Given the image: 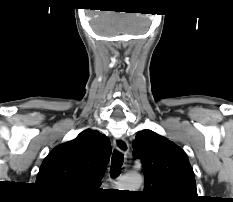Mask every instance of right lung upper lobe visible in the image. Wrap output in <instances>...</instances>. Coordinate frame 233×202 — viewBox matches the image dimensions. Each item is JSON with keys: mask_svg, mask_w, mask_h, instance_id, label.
<instances>
[{"mask_svg": "<svg viewBox=\"0 0 233 202\" xmlns=\"http://www.w3.org/2000/svg\"><path fill=\"white\" fill-rule=\"evenodd\" d=\"M111 154L109 139L91 129L55 147L44 159L36 183L59 196H81L98 188Z\"/></svg>", "mask_w": 233, "mask_h": 202, "instance_id": "obj_1", "label": "right lung upper lobe"}]
</instances>
